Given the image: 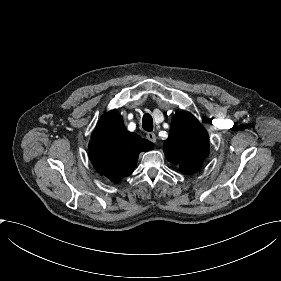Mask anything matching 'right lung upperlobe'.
I'll return each mask as SVG.
<instances>
[{
	"mask_svg": "<svg viewBox=\"0 0 281 281\" xmlns=\"http://www.w3.org/2000/svg\"><path fill=\"white\" fill-rule=\"evenodd\" d=\"M153 148L152 142L129 132L122 117L112 110L100 119L92 134L89 157L101 176L119 183L134 171L139 153Z\"/></svg>",
	"mask_w": 281,
	"mask_h": 281,
	"instance_id": "obj_1",
	"label": "right lung upper lobe"
}]
</instances>
